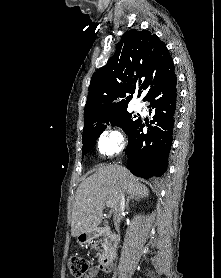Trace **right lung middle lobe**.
I'll return each mask as SVG.
<instances>
[{
  "mask_svg": "<svg viewBox=\"0 0 221 278\" xmlns=\"http://www.w3.org/2000/svg\"><path fill=\"white\" fill-rule=\"evenodd\" d=\"M136 117V116H134ZM138 121L132 118V114L127 112V108L108 114L89 122H85L82 135V156L89 152L95 145L96 139L104 131L107 125H116L121 127L127 134L132 126Z\"/></svg>",
  "mask_w": 221,
  "mask_h": 278,
  "instance_id": "obj_1",
  "label": "right lung middle lobe"
}]
</instances>
